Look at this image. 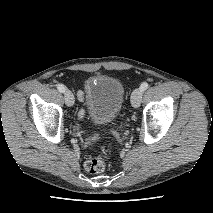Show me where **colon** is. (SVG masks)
Wrapping results in <instances>:
<instances>
[{
    "label": "colon",
    "mask_w": 213,
    "mask_h": 213,
    "mask_svg": "<svg viewBox=\"0 0 213 213\" xmlns=\"http://www.w3.org/2000/svg\"><path fill=\"white\" fill-rule=\"evenodd\" d=\"M100 154L94 157H90L85 162V169L91 174H99L105 169L104 155H108L111 152V145L107 142L100 143Z\"/></svg>",
    "instance_id": "obj_1"
}]
</instances>
